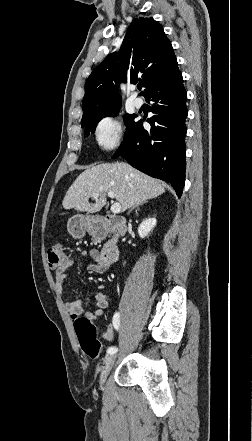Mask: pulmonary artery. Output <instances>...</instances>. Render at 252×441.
Segmentation results:
<instances>
[{
  "instance_id": "obj_1",
  "label": "pulmonary artery",
  "mask_w": 252,
  "mask_h": 441,
  "mask_svg": "<svg viewBox=\"0 0 252 441\" xmlns=\"http://www.w3.org/2000/svg\"><path fill=\"white\" fill-rule=\"evenodd\" d=\"M133 105H134L135 108L139 109L143 105V100L141 98H139V97H136V98L133 99Z\"/></svg>"
}]
</instances>
